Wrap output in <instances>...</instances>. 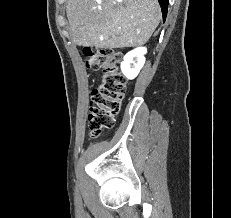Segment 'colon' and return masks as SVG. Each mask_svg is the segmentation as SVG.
<instances>
[{"instance_id": "1", "label": "colon", "mask_w": 231, "mask_h": 218, "mask_svg": "<svg viewBox=\"0 0 231 218\" xmlns=\"http://www.w3.org/2000/svg\"><path fill=\"white\" fill-rule=\"evenodd\" d=\"M88 69L101 71L100 83L92 90L88 113L91 137L113 126L126 90V79L120 72L121 54L113 49H84Z\"/></svg>"}]
</instances>
